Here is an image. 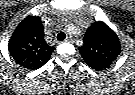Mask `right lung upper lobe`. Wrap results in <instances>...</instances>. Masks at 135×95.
I'll list each match as a JSON object with an SVG mask.
<instances>
[{"mask_svg":"<svg viewBox=\"0 0 135 95\" xmlns=\"http://www.w3.org/2000/svg\"><path fill=\"white\" fill-rule=\"evenodd\" d=\"M8 50L17 64L35 70L50 59L54 47L49 46L44 39L41 18L28 16L13 32Z\"/></svg>","mask_w":135,"mask_h":95,"instance_id":"obj_1","label":"right lung upper lobe"}]
</instances>
